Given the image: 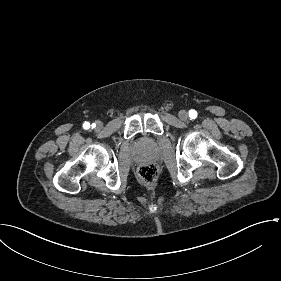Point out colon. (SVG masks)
<instances>
[{
    "mask_svg": "<svg viewBox=\"0 0 281 281\" xmlns=\"http://www.w3.org/2000/svg\"><path fill=\"white\" fill-rule=\"evenodd\" d=\"M138 175L144 184H154L158 176L156 165L152 163L142 165L138 170Z\"/></svg>",
    "mask_w": 281,
    "mask_h": 281,
    "instance_id": "1",
    "label": "colon"
}]
</instances>
